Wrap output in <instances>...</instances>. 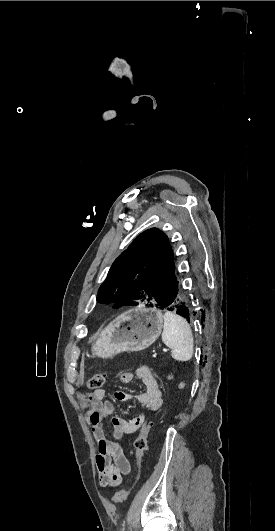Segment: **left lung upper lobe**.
I'll return each instance as SVG.
<instances>
[{
	"instance_id": "obj_1",
	"label": "left lung upper lobe",
	"mask_w": 275,
	"mask_h": 531,
	"mask_svg": "<svg viewBox=\"0 0 275 531\" xmlns=\"http://www.w3.org/2000/svg\"><path fill=\"white\" fill-rule=\"evenodd\" d=\"M174 256L168 237L151 228L140 235L121 253L100 286L97 301L121 306L164 308L177 294Z\"/></svg>"
}]
</instances>
